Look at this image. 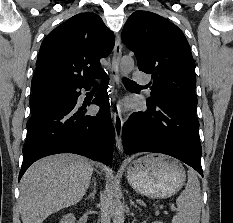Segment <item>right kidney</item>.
<instances>
[{"label": "right kidney", "instance_id": "1", "mask_svg": "<svg viewBox=\"0 0 233 223\" xmlns=\"http://www.w3.org/2000/svg\"><path fill=\"white\" fill-rule=\"evenodd\" d=\"M60 223H75V215L73 213H67L62 217Z\"/></svg>", "mask_w": 233, "mask_h": 223}]
</instances>
